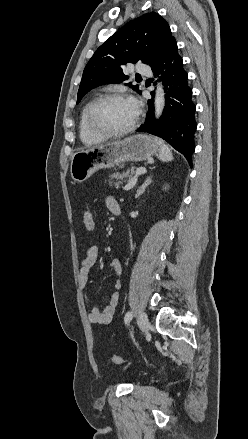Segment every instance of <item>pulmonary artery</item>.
Here are the masks:
<instances>
[{"label": "pulmonary artery", "instance_id": "obj_1", "mask_svg": "<svg viewBox=\"0 0 248 439\" xmlns=\"http://www.w3.org/2000/svg\"><path fill=\"white\" fill-rule=\"evenodd\" d=\"M136 72L140 75V76H151L152 72L151 70L148 68L147 65L142 64V63H138L137 67H136Z\"/></svg>", "mask_w": 248, "mask_h": 439}]
</instances>
